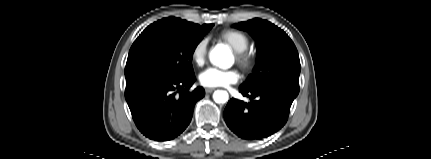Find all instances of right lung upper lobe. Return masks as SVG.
Returning <instances> with one entry per match:
<instances>
[{
  "label": "right lung upper lobe",
  "mask_w": 431,
  "mask_h": 159,
  "mask_svg": "<svg viewBox=\"0 0 431 159\" xmlns=\"http://www.w3.org/2000/svg\"><path fill=\"white\" fill-rule=\"evenodd\" d=\"M164 19H165V20H168V21H171V22L178 23V24H180V25H183V26H185V27H188V28H191V29H194V30H199V29H201V28H203V27H205V26H206V24H205V25L200 26V25H198V24H194V23H191V22H187V21H185V20H182V19H180V18H176V17H168V18H164Z\"/></svg>",
  "instance_id": "1"
}]
</instances>
